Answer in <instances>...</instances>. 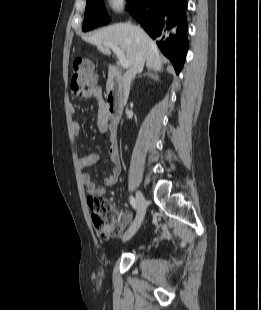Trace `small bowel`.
<instances>
[{
  "label": "small bowel",
  "mask_w": 261,
  "mask_h": 310,
  "mask_svg": "<svg viewBox=\"0 0 261 310\" xmlns=\"http://www.w3.org/2000/svg\"><path fill=\"white\" fill-rule=\"evenodd\" d=\"M75 95L78 97L84 98H95L98 102L99 106V113L102 114L104 110V101L102 97V91L99 87H93L90 89L83 90L81 92H75ZM99 129L102 132H109V149L108 155L109 159L112 163V169L110 173L104 178L103 185L95 183L90 175L87 172H83L81 175V180L83 185L85 186L86 191L91 195H101L103 196L106 192L105 186H112L117 182L118 176L121 172V164L120 158L118 154V148L116 143V134L108 127L101 117H99L98 121ZM72 131L74 135H78L80 132V126L77 122H73L72 124ZM98 161V156L96 154H88L82 156L79 159V166L80 168L85 171L93 166Z\"/></svg>",
  "instance_id": "small-bowel-1"
}]
</instances>
